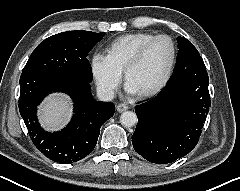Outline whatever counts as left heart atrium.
Segmentation results:
<instances>
[{
	"instance_id": "left-heart-atrium-1",
	"label": "left heart atrium",
	"mask_w": 240,
	"mask_h": 191,
	"mask_svg": "<svg viewBox=\"0 0 240 191\" xmlns=\"http://www.w3.org/2000/svg\"><path fill=\"white\" fill-rule=\"evenodd\" d=\"M125 88H126L127 92L132 93V94L138 92L137 89L129 81H126Z\"/></svg>"
}]
</instances>
